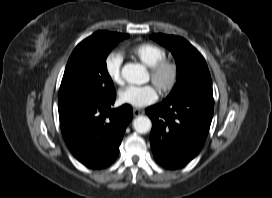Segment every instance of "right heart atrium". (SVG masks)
I'll use <instances>...</instances> for the list:
<instances>
[{
  "instance_id": "d8ad5b80",
  "label": "right heart atrium",
  "mask_w": 272,
  "mask_h": 198,
  "mask_svg": "<svg viewBox=\"0 0 272 198\" xmlns=\"http://www.w3.org/2000/svg\"><path fill=\"white\" fill-rule=\"evenodd\" d=\"M123 56L119 51H111L105 58L104 68L108 78L115 84H121Z\"/></svg>"
}]
</instances>
